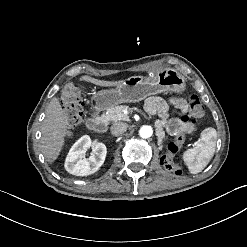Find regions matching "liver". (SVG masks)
Segmentation results:
<instances>
[{"mask_svg": "<svg viewBox=\"0 0 247 247\" xmlns=\"http://www.w3.org/2000/svg\"><path fill=\"white\" fill-rule=\"evenodd\" d=\"M83 81L92 82L101 86H116L119 82H105L92 79L89 76L81 78ZM66 116L64 115L60 103L53 98L46 110V118L42 125V152L48 162H52L58 156L64 142Z\"/></svg>", "mask_w": 247, "mask_h": 247, "instance_id": "liver-1", "label": "liver"}]
</instances>
